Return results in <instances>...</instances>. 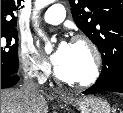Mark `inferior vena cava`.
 <instances>
[{
  "label": "inferior vena cava",
  "instance_id": "inferior-vena-cava-1",
  "mask_svg": "<svg viewBox=\"0 0 123 113\" xmlns=\"http://www.w3.org/2000/svg\"><path fill=\"white\" fill-rule=\"evenodd\" d=\"M22 90L26 95H39L38 85L31 76L25 77Z\"/></svg>",
  "mask_w": 123,
  "mask_h": 113
}]
</instances>
